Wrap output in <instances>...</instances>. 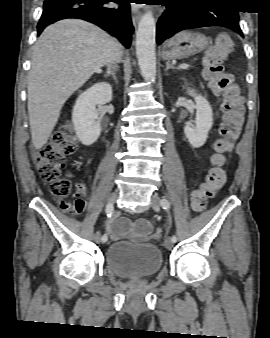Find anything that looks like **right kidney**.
<instances>
[{
    "mask_svg": "<svg viewBox=\"0 0 270 338\" xmlns=\"http://www.w3.org/2000/svg\"><path fill=\"white\" fill-rule=\"evenodd\" d=\"M112 100V87L101 82L81 93L72 112V121L78 139L84 145L93 144L100 136L101 124L96 109Z\"/></svg>",
    "mask_w": 270,
    "mask_h": 338,
    "instance_id": "right-kidney-1",
    "label": "right kidney"
}]
</instances>
